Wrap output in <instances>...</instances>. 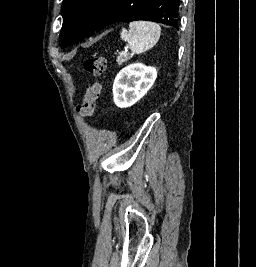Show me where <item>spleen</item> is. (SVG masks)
Segmentation results:
<instances>
[{"instance_id": "obj_1", "label": "spleen", "mask_w": 256, "mask_h": 267, "mask_svg": "<svg viewBox=\"0 0 256 267\" xmlns=\"http://www.w3.org/2000/svg\"><path fill=\"white\" fill-rule=\"evenodd\" d=\"M129 32L122 28L121 40L127 42L132 54H143L156 46L160 36L161 28L155 22H131Z\"/></svg>"}]
</instances>
